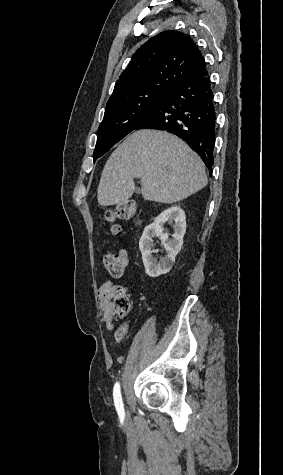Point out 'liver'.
I'll return each instance as SVG.
<instances>
[{
  "instance_id": "obj_1",
  "label": "liver",
  "mask_w": 283,
  "mask_h": 475,
  "mask_svg": "<svg viewBox=\"0 0 283 475\" xmlns=\"http://www.w3.org/2000/svg\"><path fill=\"white\" fill-rule=\"evenodd\" d=\"M133 178H141L144 200L161 204L185 200L208 184L200 156L159 130H138L114 150L100 178V206L126 204L135 190Z\"/></svg>"
}]
</instances>
